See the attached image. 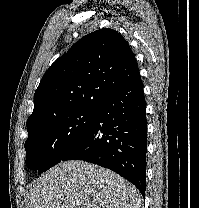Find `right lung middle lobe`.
<instances>
[{
	"label": "right lung middle lobe",
	"mask_w": 199,
	"mask_h": 208,
	"mask_svg": "<svg viewBox=\"0 0 199 208\" xmlns=\"http://www.w3.org/2000/svg\"><path fill=\"white\" fill-rule=\"evenodd\" d=\"M95 116V107L78 108L36 126L25 142L26 165L40 173L65 157L86 134Z\"/></svg>",
	"instance_id": "dd1d6c3e"
}]
</instances>
